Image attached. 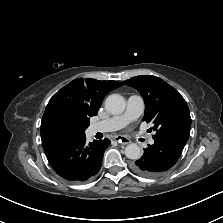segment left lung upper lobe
I'll list each match as a JSON object with an SVG mask.
<instances>
[{
  "mask_svg": "<svg viewBox=\"0 0 223 223\" xmlns=\"http://www.w3.org/2000/svg\"><path fill=\"white\" fill-rule=\"evenodd\" d=\"M137 89L146 108L143 121L152 122L156 134L153 139L171 138L186 144L191 128V117L181 94L162 79L140 75L123 82Z\"/></svg>",
  "mask_w": 223,
  "mask_h": 223,
  "instance_id": "left-lung-upper-lobe-1",
  "label": "left lung upper lobe"
}]
</instances>
